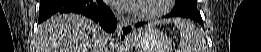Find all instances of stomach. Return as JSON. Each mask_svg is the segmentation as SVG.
<instances>
[{"label":"stomach","mask_w":261,"mask_h":52,"mask_svg":"<svg viewBox=\"0 0 261 52\" xmlns=\"http://www.w3.org/2000/svg\"><path fill=\"white\" fill-rule=\"evenodd\" d=\"M130 42L135 52H168V39L153 28L135 31Z\"/></svg>","instance_id":"obj_1"}]
</instances>
